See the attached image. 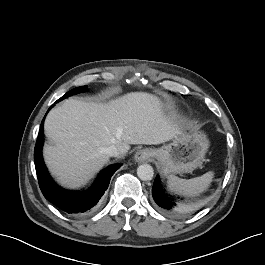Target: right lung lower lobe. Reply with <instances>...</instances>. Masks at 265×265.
I'll list each match as a JSON object with an SVG mask.
<instances>
[{
    "instance_id": "obj_1",
    "label": "right lung lower lobe",
    "mask_w": 265,
    "mask_h": 265,
    "mask_svg": "<svg viewBox=\"0 0 265 265\" xmlns=\"http://www.w3.org/2000/svg\"><path fill=\"white\" fill-rule=\"evenodd\" d=\"M44 119L41 122L34 150L35 168L40 189L49 202L68 214L80 215L88 212L100 200L105 190L108 188L111 176L120 167V164L110 165L103 170L97 178V182L86 192H74L59 187L50 177L42 158Z\"/></svg>"
}]
</instances>
